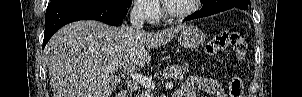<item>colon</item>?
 Returning a JSON list of instances; mask_svg holds the SVG:
<instances>
[{"instance_id":"obj_1","label":"colon","mask_w":302,"mask_h":97,"mask_svg":"<svg viewBox=\"0 0 302 97\" xmlns=\"http://www.w3.org/2000/svg\"><path fill=\"white\" fill-rule=\"evenodd\" d=\"M232 48L239 59L247 52V43L240 33L234 29H223L219 31L205 46L208 55L214 56L226 48ZM230 97H242L243 82L241 78L234 77L229 86Z\"/></svg>"}]
</instances>
